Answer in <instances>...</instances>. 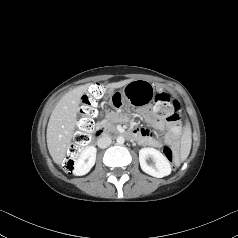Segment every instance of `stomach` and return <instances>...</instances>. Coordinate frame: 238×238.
<instances>
[{
	"label": "stomach",
	"mask_w": 238,
	"mask_h": 238,
	"mask_svg": "<svg viewBox=\"0 0 238 238\" xmlns=\"http://www.w3.org/2000/svg\"><path fill=\"white\" fill-rule=\"evenodd\" d=\"M155 96L154 86L146 80H132L110 96L109 102L113 108L119 109L131 105H149Z\"/></svg>",
	"instance_id": "1"
}]
</instances>
